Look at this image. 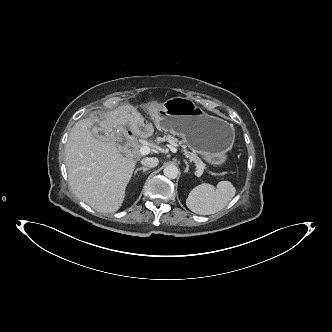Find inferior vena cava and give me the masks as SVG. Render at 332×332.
<instances>
[{
	"mask_svg": "<svg viewBox=\"0 0 332 332\" xmlns=\"http://www.w3.org/2000/svg\"><path fill=\"white\" fill-rule=\"evenodd\" d=\"M159 163L158 158L156 157H147L141 160V164L148 168L156 167Z\"/></svg>",
	"mask_w": 332,
	"mask_h": 332,
	"instance_id": "obj_1",
	"label": "inferior vena cava"
}]
</instances>
